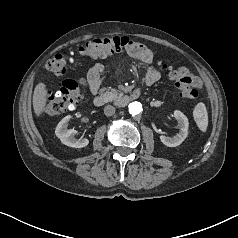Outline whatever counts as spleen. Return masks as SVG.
I'll return each mask as SVG.
<instances>
[{"mask_svg":"<svg viewBox=\"0 0 238 238\" xmlns=\"http://www.w3.org/2000/svg\"><path fill=\"white\" fill-rule=\"evenodd\" d=\"M193 117H194V120H195L198 128L202 132H206L207 127H208V112H207L206 106L203 102H199L195 106V108L193 110Z\"/></svg>","mask_w":238,"mask_h":238,"instance_id":"obj_1","label":"spleen"}]
</instances>
